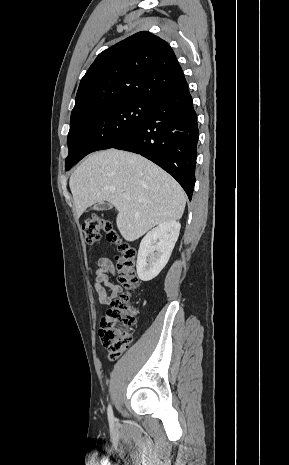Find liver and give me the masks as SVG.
I'll list each match as a JSON object with an SVG mask.
<instances>
[{"label":"liver","mask_w":289,"mask_h":465,"mask_svg":"<svg viewBox=\"0 0 289 465\" xmlns=\"http://www.w3.org/2000/svg\"><path fill=\"white\" fill-rule=\"evenodd\" d=\"M69 186L77 217L108 201L118 211L120 234L130 242L160 223L179 220L186 204L183 189L168 173L141 155L114 148L88 156Z\"/></svg>","instance_id":"6515ba94"}]
</instances>
